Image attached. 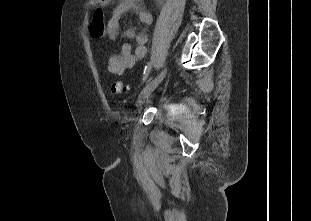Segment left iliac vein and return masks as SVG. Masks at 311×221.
I'll return each instance as SVG.
<instances>
[{"mask_svg": "<svg viewBox=\"0 0 311 221\" xmlns=\"http://www.w3.org/2000/svg\"><path fill=\"white\" fill-rule=\"evenodd\" d=\"M168 72V69L165 68L156 78H154L152 81H150L140 92L137 101L136 106H141L146 99L149 98L151 93L156 89V87L163 81L166 74Z\"/></svg>", "mask_w": 311, "mask_h": 221, "instance_id": "obj_1", "label": "left iliac vein"}]
</instances>
